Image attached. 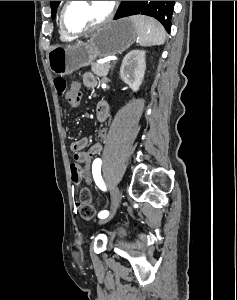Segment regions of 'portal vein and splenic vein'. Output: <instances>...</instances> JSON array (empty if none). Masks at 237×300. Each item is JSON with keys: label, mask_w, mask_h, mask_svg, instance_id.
I'll return each mask as SVG.
<instances>
[{"label": "portal vein and splenic vein", "mask_w": 237, "mask_h": 300, "mask_svg": "<svg viewBox=\"0 0 237 300\" xmlns=\"http://www.w3.org/2000/svg\"><path fill=\"white\" fill-rule=\"evenodd\" d=\"M108 64V65H107ZM107 64H105V65H103V68H105V69H109L111 66L109 65V63H107Z\"/></svg>", "instance_id": "obj_1"}]
</instances>
